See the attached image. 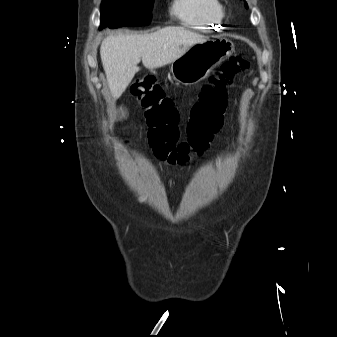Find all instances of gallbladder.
Segmentation results:
<instances>
[{"label": "gallbladder", "mask_w": 337, "mask_h": 337, "mask_svg": "<svg viewBox=\"0 0 337 337\" xmlns=\"http://www.w3.org/2000/svg\"><path fill=\"white\" fill-rule=\"evenodd\" d=\"M120 117H124V113L122 111H119Z\"/></svg>", "instance_id": "bac80fb5"}]
</instances>
